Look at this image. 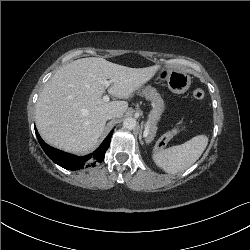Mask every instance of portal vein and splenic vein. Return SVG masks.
I'll return each instance as SVG.
<instances>
[{"label": "portal vein and splenic vein", "instance_id": "obj_1", "mask_svg": "<svg viewBox=\"0 0 250 250\" xmlns=\"http://www.w3.org/2000/svg\"><path fill=\"white\" fill-rule=\"evenodd\" d=\"M110 83H111V81H107V80L104 81V85H105L106 87H108V86L110 85ZM109 99H110V98H109L108 95L103 96V101L108 102ZM148 132H149V119H148L147 122H146L145 134L147 135Z\"/></svg>", "mask_w": 250, "mask_h": 250}]
</instances>
